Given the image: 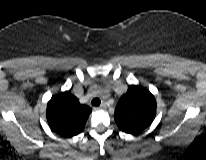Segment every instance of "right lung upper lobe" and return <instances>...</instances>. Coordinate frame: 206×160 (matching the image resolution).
<instances>
[{
	"label": "right lung upper lobe",
	"mask_w": 206,
	"mask_h": 160,
	"mask_svg": "<svg viewBox=\"0 0 206 160\" xmlns=\"http://www.w3.org/2000/svg\"><path fill=\"white\" fill-rule=\"evenodd\" d=\"M91 113V109L80 104L70 91L61 92L47 104L46 118L50 128L63 137H73L81 133Z\"/></svg>",
	"instance_id": "1"
}]
</instances>
